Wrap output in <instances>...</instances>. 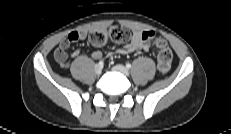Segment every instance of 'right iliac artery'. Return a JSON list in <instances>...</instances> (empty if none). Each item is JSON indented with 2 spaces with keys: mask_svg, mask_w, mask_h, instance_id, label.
Instances as JSON below:
<instances>
[{
  "mask_svg": "<svg viewBox=\"0 0 231 134\" xmlns=\"http://www.w3.org/2000/svg\"><path fill=\"white\" fill-rule=\"evenodd\" d=\"M103 64H104L103 61L98 62V65H100L101 67L103 66Z\"/></svg>",
  "mask_w": 231,
  "mask_h": 134,
  "instance_id": "1",
  "label": "right iliac artery"
}]
</instances>
